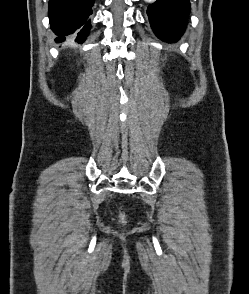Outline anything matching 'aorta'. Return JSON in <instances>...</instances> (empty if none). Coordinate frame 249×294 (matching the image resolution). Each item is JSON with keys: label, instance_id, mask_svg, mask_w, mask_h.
<instances>
[{"label": "aorta", "instance_id": "obj_1", "mask_svg": "<svg viewBox=\"0 0 249 294\" xmlns=\"http://www.w3.org/2000/svg\"><path fill=\"white\" fill-rule=\"evenodd\" d=\"M145 1L151 3V2H154L155 0H145Z\"/></svg>", "mask_w": 249, "mask_h": 294}]
</instances>
